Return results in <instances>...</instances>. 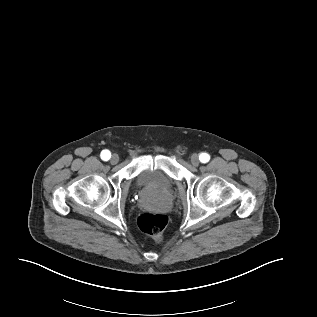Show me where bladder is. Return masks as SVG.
I'll list each match as a JSON object with an SVG mask.
<instances>
[{
  "instance_id": "bladder-1",
  "label": "bladder",
  "mask_w": 317,
  "mask_h": 317,
  "mask_svg": "<svg viewBox=\"0 0 317 317\" xmlns=\"http://www.w3.org/2000/svg\"><path fill=\"white\" fill-rule=\"evenodd\" d=\"M136 183L139 188L155 193H164L173 187V180L168 175L151 169L139 173L136 177Z\"/></svg>"
}]
</instances>
